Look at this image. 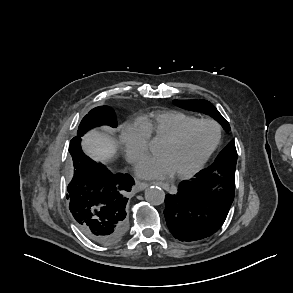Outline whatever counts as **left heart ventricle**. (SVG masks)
<instances>
[{"instance_id": "b2bd125f", "label": "left heart ventricle", "mask_w": 293, "mask_h": 293, "mask_svg": "<svg viewBox=\"0 0 293 293\" xmlns=\"http://www.w3.org/2000/svg\"><path fill=\"white\" fill-rule=\"evenodd\" d=\"M216 137V129L210 124H197L190 128L176 143L161 141L157 152L165 156L174 173L191 169L205 154Z\"/></svg>"}]
</instances>
